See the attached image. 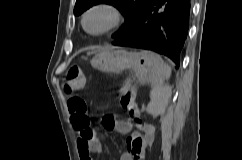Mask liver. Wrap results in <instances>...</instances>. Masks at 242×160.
Masks as SVG:
<instances>
[{
    "mask_svg": "<svg viewBox=\"0 0 242 160\" xmlns=\"http://www.w3.org/2000/svg\"><path fill=\"white\" fill-rule=\"evenodd\" d=\"M115 47L113 46H109V47H94L92 48V51L88 52L87 54L90 55V54H95L96 52L98 51H103V50H107V49H114Z\"/></svg>",
    "mask_w": 242,
    "mask_h": 160,
    "instance_id": "6515ba94",
    "label": "liver"
}]
</instances>
